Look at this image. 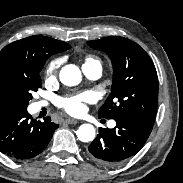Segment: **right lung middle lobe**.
<instances>
[{
    "label": "right lung middle lobe",
    "instance_id": "right-lung-middle-lobe-1",
    "mask_svg": "<svg viewBox=\"0 0 183 183\" xmlns=\"http://www.w3.org/2000/svg\"><path fill=\"white\" fill-rule=\"evenodd\" d=\"M44 64L45 61H38L35 64L33 72L20 80L7 85L6 94L17 106L18 110L26 109L29 101L32 99V92L41 88L40 71Z\"/></svg>",
    "mask_w": 183,
    "mask_h": 183
}]
</instances>
